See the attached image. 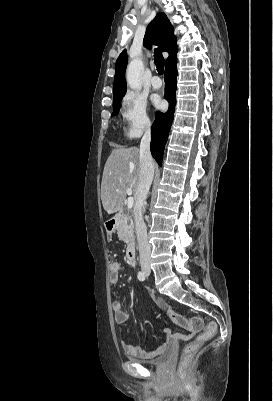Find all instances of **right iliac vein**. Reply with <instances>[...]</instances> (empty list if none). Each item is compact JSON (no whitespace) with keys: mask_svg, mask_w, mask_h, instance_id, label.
Listing matches in <instances>:
<instances>
[{"mask_svg":"<svg viewBox=\"0 0 273 401\" xmlns=\"http://www.w3.org/2000/svg\"><path fill=\"white\" fill-rule=\"evenodd\" d=\"M148 268H149V265H148V264H143V265H142V270H143L144 272H146V271L148 270Z\"/></svg>","mask_w":273,"mask_h":401,"instance_id":"63e3f726","label":"right iliac vein"}]
</instances>
